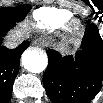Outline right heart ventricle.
<instances>
[{
    "instance_id": "1",
    "label": "right heart ventricle",
    "mask_w": 103,
    "mask_h": 103,
    "mask_svg": "<svg viewBox=\"0 0 103 103\" xmlns=\"http://www.w3.org/2000/svg\"><path fill=\"white\" fill-rule=\"evenodd\" d=\"M70 18V11L53 7L40 8L33 15L34 25L39 30H54L60 28Z\"/></svg>"
}]
</instances>
